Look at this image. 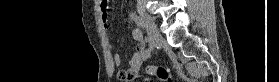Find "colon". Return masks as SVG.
Returning a JSON list of instances; mask_svg holds the SVG:
<instances>
[{
    "instance_id": "colon-1",
    "label": "colon",
    "mask_w": 279,
    "mask_h": 82,
    "mask_svg": "<svg viewBox=\"0 0 279 82\" xmlns=\"http://www.w3.org/2000/svg\"><path fill=\"white\" fill-rule=\"evenodd\" d=\"M145 71H146V73H148L150 75H154L155 77H157L159 80H161L163 82L172 81V76H171L169 70L162 66L148 65V66H146ZM121 75L124 76L125 74L122 72Z\"/></svg>"
}]
</instances>
